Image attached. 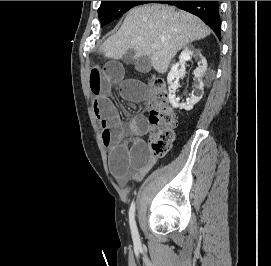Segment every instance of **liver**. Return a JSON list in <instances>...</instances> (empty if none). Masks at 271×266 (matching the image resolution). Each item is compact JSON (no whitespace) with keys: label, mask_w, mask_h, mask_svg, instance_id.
Wrapping results in <instances>:
<instances>
[{"label":"liver","mask_w":271,"mask_h":266,"mask_svg":"<svg viewBox=\"0 0 271 266\" xmlns=\"http://www.w3.org/2000/svg\"><path fill=\"white\" fill-rule=\"evenodd\" d=\"M210 33L206 24L188 12L164 4H146L129 11L119 31L104 42L101 52L119 60L133 50L137 58L148 56L153 68L164 74L181 48Z\"/></svg>","instance_id":"6515ba94"}]
</instances>
